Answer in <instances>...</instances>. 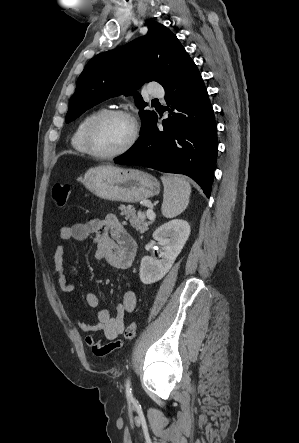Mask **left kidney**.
Segmentation results:
<instances>
[{
	"instance_id": "left-kidney-1",
	"label": "left kidney",
	"mask_w": 299,
	"mask_h": 443,
	"mask_svg": "<svg viewBox=\"0 0 299 443\" xmlns=\"http://www.w3.org/2000/svg\"><path fill=\"white\" fill-rule=\"evenodd\" d=\"M187 221L175 219L161 225L153 233V238L164 246L161 259L144 256L140 264V279L151 284L162 279L170 270L190 235Z\"/></svg>"
}]
</instances>
